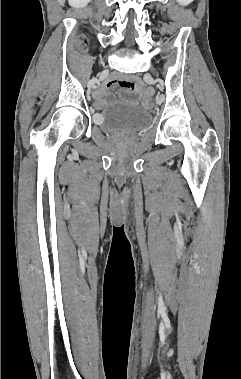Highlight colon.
<instances>
[{
  "label": "colon",
  "instance_id": "obj_1",
  "mask_svg": "<svg viewBox=\"0 0 241 379\" xmlns=\"http://www.w3.org/2000/svg\"><path fill=\"white\" fill-rule=\"evenodd\" d=\"M83 44V40H81L80 46ZM142 103H141V108L142 109H151V95L149 91L145 90L142 93Z\"/></svg>",
  "mask_w": 241,
  "mask_h": 379
}]
</instances>
